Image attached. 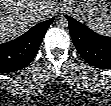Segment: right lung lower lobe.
I'll return each mask as SVG.
<instances>
[{"label":"right lung lower lobe","instance_id":"1","mask_svg":"<svg viewBox=\"0 0 111 106\" xmlns=\"http://www.w3.org/2000/svg\"><path fill=\"white\" fill-rule=\"evenodd\" d=\"M53 20L38 23L20 37L0 44V73L14 72L27 66L35 57Z\"/></svg>","mask_w":111,"mask_h":106}]
</instances>
